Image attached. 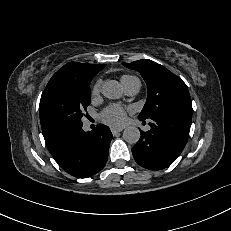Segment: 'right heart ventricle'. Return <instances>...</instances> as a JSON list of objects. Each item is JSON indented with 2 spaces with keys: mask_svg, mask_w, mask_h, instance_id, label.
<instances>
[{
  "mask_svg": "<svg viewBox=\"0 0 231 231\" xmlns=\"http://www.w3.org/2000/svg\"><path fill=\"white\" fill-rule=\"evenodd\" d=\"M131 78H133V76H129V75H124L121 78V82L124 85L128 80H130Z\"/></svg>",
  "mask_w": 231,
  "mask_h": 231,
  "instance_id": "right-heart-ventricle-1",
  "label": "right heart ventricle"
}]
</instances>
